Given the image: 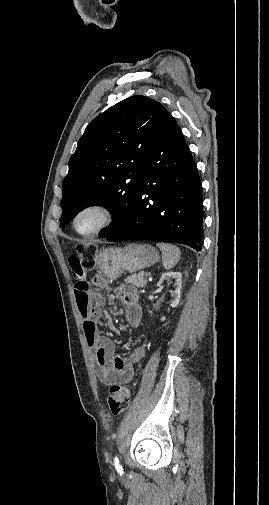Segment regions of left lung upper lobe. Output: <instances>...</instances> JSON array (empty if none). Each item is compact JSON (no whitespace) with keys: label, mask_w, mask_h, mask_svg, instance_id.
I'll return each mask as SVG.
<instances>
[{"label":"left lung upper lobe","mask_w":269,"mask_h":505,"mask_svg":"<svg viewBox=\"0 0 269 505\" xmlns=\"http://www.w3.org/2000/svg\"><path fill=\"white\" fill-rule=\"evenodd\" d=\"M166 113L159 102L137 95L110 107L87 126L62 183V228L94 204L110 207L115 215L103 236L128 221L150 142Z\"/></svg>","instance_id":"1"}]
</instances>
